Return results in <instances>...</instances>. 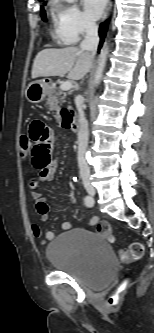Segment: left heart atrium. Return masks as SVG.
Wrapping results in <instances>:
<instances>
[{
  "mask_svg": "<svg viewBox=\"0 0 154 333\" xmlns=\"http://www.w3.org/2000/svg\"><path fill=\"white\" fill-rule=\"evenodd\" d=\"M82 1L85 13L87 17L91 20L98 19L101 16L107 2V0H82Z\"/></svg>",
  "mask_w": 154,
  "mask_h": 333,
  "instance_id": "left-heart-atrium-1",
  "label": "left heart atrium"
}]
</instances>
